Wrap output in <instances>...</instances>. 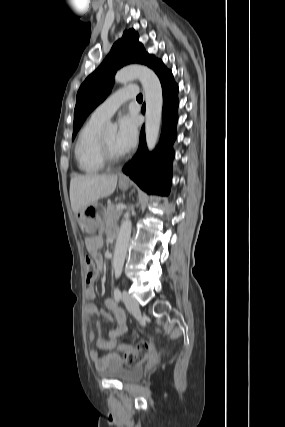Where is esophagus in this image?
Segmentation results:
<instances>
[{
	"mask_svg": "<svg viewBox=\"0 0 285 427\" xmlns=\"http://www.w3.org/2000/svg\"><path fill=\"white\" fill-rule=\"evenodd\" d=\"M120 180H124V181H126V180H128V178H127V176H125V175H120Z\"/></svg>",
	"mask_w": 285,
	"mask_h": 427,
	"instance_id": "1",
	"label": "esophagus"
}]
</instances>
